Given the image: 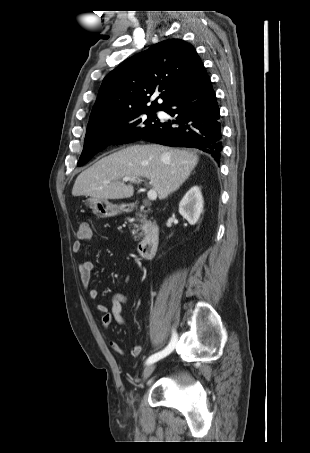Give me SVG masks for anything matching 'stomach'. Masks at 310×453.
Returning a JSON list of instances; mask_svg holds the SVG:
<instances>
[{
	"instance_id": "obj_1",
	"label": "stomach",
	"mask_w": 310,
	"mask_h": 453,
	"mask_svg": "<svg viewBox=\"0 0 310 453\" xmlns=\"http://www.w3.org/2000/svg\"><path fill=\"white\" fill-rule=\"evenodd\" d=\"M86 204L92 209V212L99 218H108L121 213L124 206L115 205L105 199L90 197L86 200Z\"/></svg>"
}]
</instances>
